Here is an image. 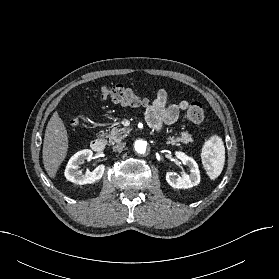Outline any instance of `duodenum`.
I'll return each mask as SVG.
<instances>
[{
  "label": "duodenum",
  "mask_w": 279,
  "mask_h": 279,
  "mask_svg": "<svg viewBox=\"0 0 279 279\" xmlns=\"http://www.w3.org/2000/svg\"><path fill=\"white\" fill-rule=\"evenodd\" d=\"M91 148L95 152H98V153L103 152L105 149V141L101 138L94 139L91 142Z\"/></svg>",
  "instance_id": "duodenum-1"
}]
</instances>
